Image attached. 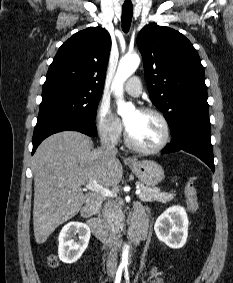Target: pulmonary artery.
Listing matches in <instances>:
<instances>
[{"mask_svg":"<svg viewBox=\"0 0 233 283\" xmlns=\"http://www.w3.org/2000/svg\"><path fill=\"white\" fill-rule=\"evenodd\" d=\"M124 90L131 96L137 97L142 92L141 82L137 76L130 78L125 86Z\"/></svg>","mask_w":233,"mask_h":283,"instance_id":"1","label":"pulmonary artery"}]
</instances>
